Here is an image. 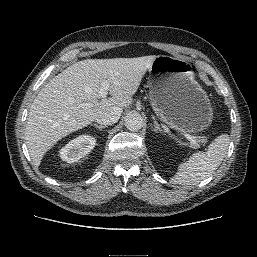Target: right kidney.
Here are the masks:
<instances>
[{
  "label": "right kidney",
  "mask_w": 257,
  "mask_h": 257,
  "mask_svg": "<svg viewBox=\"0 0 257 257\" xmlns=\"http://www.w3.org/2000/svg\"><path fill=\"white\" fill-rule=\"evenodd\" d=\"M96 140L90 135H80L60 149V157L67 163L78 162L95 147Z\"/></svg>",
  "instance_id": "right-kidney-1"
}]
</instances>
